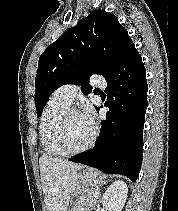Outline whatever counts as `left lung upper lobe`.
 Segmentation results:
<instances>
[{"instance_id":"obj_1","label":"left lung upper lobe","mask_w":178,"mask_h":211,"mask_svg":"<svg viewBox=\"0 0 178 211\" xmlns=\"http://www.w3.org/2000/svg\"><path fill=\"white\" fill-rule=\"evenodd\" d=\"M133 47L127 30L114 15L92 11L40 56L35 79L37 116L51 93L64 84H81L84 94L90 93L88 78L109 75Z\"/></svg>"}]
</instances>
